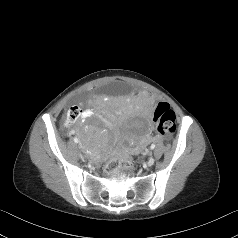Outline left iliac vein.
<instances>
[{
	"label": "left iliac vein",
	"instance_id": "1",
	"mask_svg": "<svg viewBox=\"0 0 238 238\" xmlns=\"http://www.w3.org/2000/svg\"><path fill=\"white\" fill-rule=\"evenodd\" d=\"M154 164V159L153 158H150L147 162V165L148 166H152Z\"/></svg>",
	"mask_w": 238,
	"mask_h": 238
}]
</instances>
